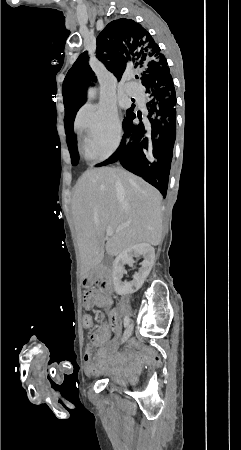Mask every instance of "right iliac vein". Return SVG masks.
<instances>
[{
    "mask_svg": "<svg viewBox=\"0 0 241 450\" xmlns=\"http://www.w3.org/2000/svg\"><path fill=\"white\" fill-rule=\"evenodd\" d=\"M132 331H133V325H132V323H131V324H129V325L127 326V328H126V330H125V332H124V335H123V337H122V342H125V341L131 336Z\"/></svg>",
    "mask_w": 241,
    "mask_h": 450,
    "instance_id": "right-iliac-vein-1",
    "label": "right iliac vein"
}]
</instances>
